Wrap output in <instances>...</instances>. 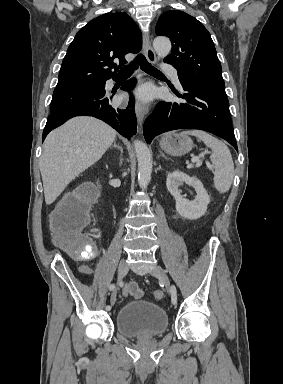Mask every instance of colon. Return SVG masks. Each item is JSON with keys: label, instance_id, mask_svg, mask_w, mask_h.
<instances>
[{"label": "colon", "instance_id": "colon-1", "mask_svg": "<svg viewBox=\"0 0 283 384\" xmlns=\"http://www.w3.org/2000/svg\"><path fill=\"white\" fill-rule=\"evenodd\" d=\"M92 199L93 192L88 187H83L66 196L50 216L51 229L58 243L78 259L89 260L96 254L95 246L83 233L89 222ZM125 293L136 298L141 296L137 285L126 286ZM153 296L161 300L163 292L155 290Z\"/></svg>", "mask_w": 283, "mask_h": 384}]
</instances>
